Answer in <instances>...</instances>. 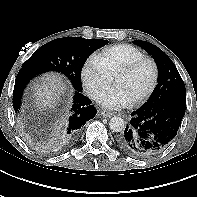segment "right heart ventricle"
<instances>
[{"label":"right heart ventricle","mask_w":197,"mask_h":197,"mask_svg":"<svg viewBox=\"0 0 197 197\" xmlns=\"http://www.w3.org/2000/svg\"><path fill=\"white\" fill-rule=\"evenodd\" d=\"M105 71L114 77L117 72L130 63L145 57V54L135 46L117 44L104 48L95 55Z\"/></svg>","instance_id":"e07e8e85"}]
</instances>
